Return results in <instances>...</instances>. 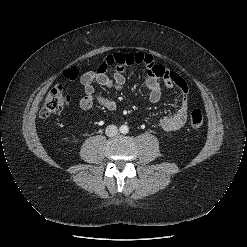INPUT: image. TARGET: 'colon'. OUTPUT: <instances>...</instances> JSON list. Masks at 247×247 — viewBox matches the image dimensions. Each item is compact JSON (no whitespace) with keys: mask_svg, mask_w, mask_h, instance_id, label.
<instances>
[{"mask_svg":"<svg viewBox=\"0 0 247 247\" xmlns=\"http://www.w3.org/2000/svg\"><path fill=\"white\" fill-rule=\"evenodd\" d=\"M76 69H71L67 73V77L73 80L77 77ZM70 103V96L65 93L61 85L52 88L46 95L43 105L40 110L42 118H48L61 113ZM204 117L200 110H193L190 114V124L194 128H199L203 125Z\"/></svg>","mask_w":247,"mask_h":247,"instance_id":"colon-1","label":"colon"}]
</instances>
